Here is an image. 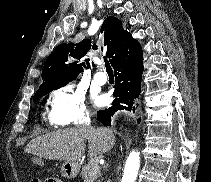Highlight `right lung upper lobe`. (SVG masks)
I'll use <instances>...</instances> for the list:
<instances>
[{
	"label": "right lung upper lobe",
	"mask_w": 211,
	"mask_h": 182,
	"mask_svg": "<svg viewBox=\"0 0 211 182\" xmlns=\"http://www.w3.org/2000/svg\"><path fill=\"white\" fill-rule=\"evenodd\" d=\"M101 32H104L106 55L114 67L118 55L132 38L131 33L124 30L122 22L115 17H107L104 20ZM91 47L94 48V45H91L89 39H84L78 44L69 43L57 46L44 63L42 78L45 82L37 90L36 94L53 87L63 86L68 81L76 79L77 75L83 71L82 66L85 67V64L78 65L77 62L65 64V62L68 61L70 56L74 58L84 56ZM92 65L94 66V63ZM87 68H89V62H87Z\"/></svg>",
	"instance_id": "obj_1"
}]
</instances>
